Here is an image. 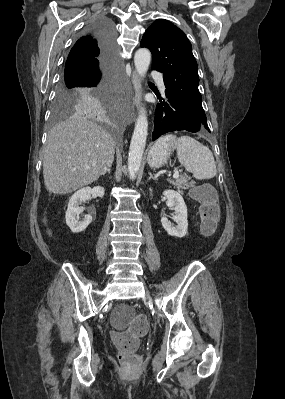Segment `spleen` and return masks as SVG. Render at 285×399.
Returning a JSON list of instances; mask_svg holds the SVG:
<instances>
[{
    "label": "spleen",
    "instance_id": "obj_1",
    "mask_svg": "<svg viewBox=\"0 0 285 399\" xmlns=\"http://www.w3.org/2000/svg\"><path fill=\"white\" fill-rule=\"evenodd\" d=\"M168 137L160 139L156 144L161 143ZM179 162L196 179H211L216 176V164L210 149L189 136H182L174 139Z\"/></svg>",
    "mask_w": 285,
    "mask_h": 399
}]
</instances>
